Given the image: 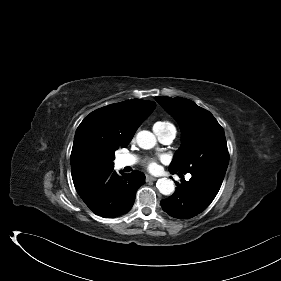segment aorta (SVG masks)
<instances>
[{"mask_svg":"<svg viewBox=\"0 0 281 281\" xmlns=\"http://www.w3.org/2000/svg\"><path fill=\"white\" fill-rule=\"evenodd\" d=\"M137 144L142 149H151L156 145V137L147 130L140 131L136 136ZM156 187L163 195H170L175 191L174 182L168 178H161L157 181Z\"/></svg>","mask_w":281,"mask_h":281,"instance_id":"aorta-1","label":"aorta"}]
</instances>
